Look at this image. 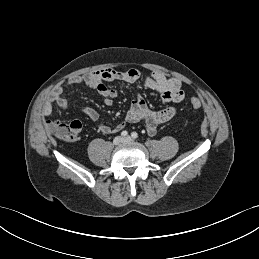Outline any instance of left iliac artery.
Masks as SVG:
<instances>
[{"label":"left iliac artery","mask_w":259,"mask_h":259,"mask_svg":"<svg viewBox=\"0 0 259 259\" xmlns=\"http://www.w3.org/2000/svg\"><path fill=\"white\" fill-rule=\"evenodd\" d=\"M132 138L136 139L138 137V134L136 132L131 133Z\"/></svg>","instance_id":"44dca946"}]
</instances>
